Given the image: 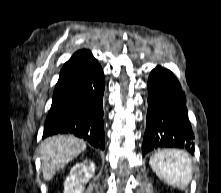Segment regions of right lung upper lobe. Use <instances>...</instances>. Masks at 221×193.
Instances as JSON below:
<instances>
[{
	"mask_svg": "<svg viewBox=\"0 0 221 193\" xmlns=\"http://www.w3.org/2000/svg\"><path fill=\"white\" fill-rule=\"evenodd\" d=\"M95 61L88 50L77 51L63 66L59 80L55 86L54 96L61 92L80 72Z\"/></svg>",
	"mask_w": 221,
	"mask_h": 193,
	"instance_id": "right-lung-upper-lobe-1",
	"label": "right lung upper lobe"
}]
</instances>
